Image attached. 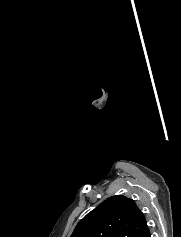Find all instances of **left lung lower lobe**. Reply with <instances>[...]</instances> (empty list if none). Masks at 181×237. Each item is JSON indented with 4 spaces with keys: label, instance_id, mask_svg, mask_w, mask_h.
<instances>
[{
    "label": "left lung lower lobe",
    "instance_id": "1",
    "mask_svg": "<svg viewBox=\"0 0 181 237\" xmlns=\"http://www.w3.org/2000/svg\"><path fill=\"white\" fill-rule=\"evenodd\" d=\"M140 237H151L148 227L145 229V231Z\"/></svg>",
    "mask_w": 181,
    "mask_h": 237
}]
</instances>
